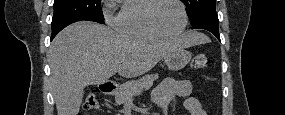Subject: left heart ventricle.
<instances>
[{"instance_id":"obj_1","label":"left heart ventricle","mask_w":285,"mask_h":115,"mask_svg":"<svg viewBox=\"0 0 285 115\" xmlns=\"http://www.w3.org/2000/svg\"><path fill=\"white\" fill-rule=\"evenodd\" d=\"M156 23L167 32L178 31L183 24L180 6L172 0L162 1L154 11Z\"/></svg>"}]
</instances>
